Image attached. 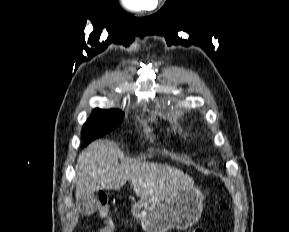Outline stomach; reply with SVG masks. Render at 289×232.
Returning a JSON list of instances; mask_svg holds the SVG:
<instances>
[{
  "instance_id": "stomach-1",
  "label": "stomach",
  "mask_w": 289,
  "mask_h": 232,
  "mask_svg": "<svg viewBox=\"0 0 289 232\" xmlns=\"http://www.w3.org/2000/svg\"><path fill=\"white\" fill-rule=\"evenodd\" d=\"M203 200L201 190L193 186L160 203L141 199L133 206L132 214L145 232L184 230L201 217Z\"/></svg>"
}]
</instances>
